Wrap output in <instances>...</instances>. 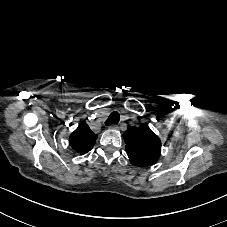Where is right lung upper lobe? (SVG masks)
Returning <instances> with one entry per match:
<instances>
[{"mask_svg":"<svg viewBox=\"0 0 227 227\" xmlns=\"http://www.w3.org/2000/svg\"><path fill=\"white\" fill-rule=\"evenodd\" d=\"M97 139L86 122H82L78 128L70 135L69 144L78 153L85 154L89 152Z\"/></svg>","mask_w":227,"mask_h":227,"instance_id":"right-lung-upper-lobe-1","label":"right lung upper lobe"}]
</instances>
